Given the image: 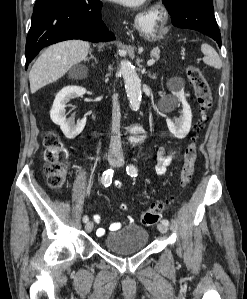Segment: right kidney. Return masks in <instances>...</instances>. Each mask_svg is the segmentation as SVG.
Returning <instances> with one entry per match:
<instances>
[{
    "label": "right kidney",
    "mask_w": 247,
    "mask_h": 299,
    "mask_svg": "<svg viewBox=\"0 0 247 299\" xmlns=\"http://www.w3.org/2000/svg\"><path fill=\"white\" fill-rule=\"evenodd\" d=\"M86 93V89L80 86L64 87L56 95L52 109L50 111L51 120L60 126L61 131L68 139H74L84 129L86 125V117L75 123L74 118L67 119L65 115V107L70 99L81 97Z\"/></svg>",
    "instance_id": "right-kidney-1"
}]
</instances>
